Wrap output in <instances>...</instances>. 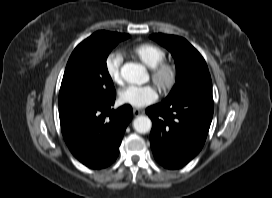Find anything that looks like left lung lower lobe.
Segmentation results:
<instances>
[{
    "mask_svg": "<svg viewBox=\"0 0 272 198\" xmlns=\"http://www.w3.org/2000/svg\"><path fill=\"white\" fill-rule=\"evenodd\" d=\"M213 98L186 96L150 106V143L155 159L168 169L187 164L202 149L213 116Z\"/></svg>",
    "mask_w": 272,
    "mask_h": 198,
    "instance_id": "obj_1",
    "label": "left lung lower lobe"
}]
</instances>
